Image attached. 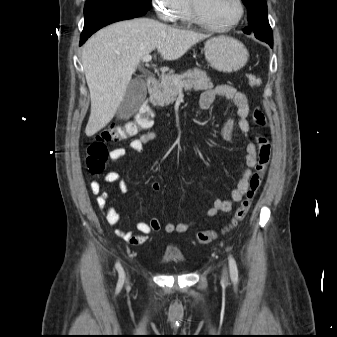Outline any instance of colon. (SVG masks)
<instances>
[{"instance_id":"5ec220e1","label":"colon","mask_w":337,"mask_h":337,"mask_svg":"<svg viewBox=\"0 0 337 337\" xmlns=\"http://www.w3.org/2000/svg\"><path fill=\"white\" fill-rule=\"evenodd\" d=\"M248 83L251 87H259L261 85L260 77L256 74H249ZM141 106L144 108L141 109V113L134 121H128L103 130L89 142L86 165L92 176L99 175L104 170L108 159L107 143L120 142L135 137L141 130L151 126V119H157V112H151L148 108L152 106L151 100H142ZM251 118L256 127H264L267 123L265 114L259 107L252 110ZM255 142L258 148L255 171L249 179L248 189L239 207L235 210L229 223L220 231L222 234L234 229L244 220L263 181L270 161L271 145L268 139L260 133L256 135ZM218 234L214 230L200 231L196 234V242L198 244L210 243L217 238Z\"/></svg>"}]
</instances>
